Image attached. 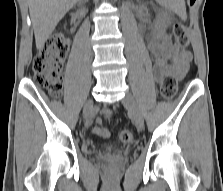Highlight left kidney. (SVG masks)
Segmentation results:
<instances>
[{
    "label": "left kidney",
    "mask_w": 223,
    "mask_h": 191,
    "mask_svg": "<svg viewBox=\"0 0 223 191\" xmlns=\"http://www.w3.org/2000/svg\"><path fill=\"white\" fill-rule=\"evenodd\" d=\"M168 23L169 19L167 16H158L154 29L155 34H159L161 31H165Z\"/></svg>",
    "instance_id": "obj_1"
}]
</instances>
